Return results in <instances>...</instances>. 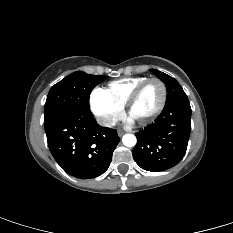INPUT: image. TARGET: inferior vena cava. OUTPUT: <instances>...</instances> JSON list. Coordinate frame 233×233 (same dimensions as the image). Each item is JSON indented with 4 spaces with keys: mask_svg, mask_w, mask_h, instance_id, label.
Segmentation results:
<instances>
[{
    "mask_svg": "<svg viewBox=\"0 0 233 233\" xmlns=\"http://www.w3.org/2000/svg\"><path fill=\"white\" fill-rule=\"evenodd\" d=\"M97 122L102 125V126H105V127H112L115 125V121L112 120L111 118L109 117H98L97 118Z\"/></svg>",
    "mask_w": 233,
    "mask_h": 233,
    "instance_id": "obj_1",
    "label": "inferior vena cava"
}]
</instances>
